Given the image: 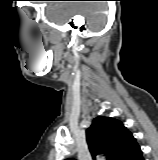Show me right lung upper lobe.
I'll return each instance as SVG.
<instances>
[{"label": "right lung upper lobe", "instance_id": "1", "mask_svg": "<svg viewBox=\"0 0 158 160\" xmlns=\"http://www.w3.org/2000/svg\"><path fill=\"white\" fill-rule=\"evenodd\" d=\"M86 139L93 158L104 154L106 160H126L138 147L123 123L110 117H96L86 130Z\"/></svg>", "mask_w": 158, "mask_h": 160}]
</instances>
